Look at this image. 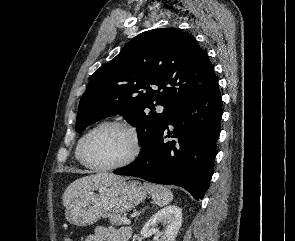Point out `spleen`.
Instances as JSON below:
<instances>
[{"instance_id": "obj_1", "label": "spleen", "mask_w": 295, "mask_h": 241, "mask_svg": "<svg viewBox=\"0 0 295 241\" xmlns=\"http://www.w3.org/2000/svg\"><path fill=\"white\" fill-rule=\"evenodd\" d=\"M144 187L158 206L167 205L173 199L172 192L164 186L144 182Z\"/></svg>"}]
</instances>
